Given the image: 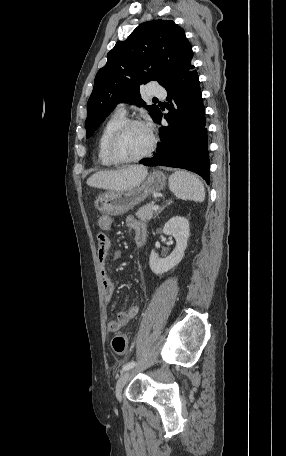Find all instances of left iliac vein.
<instances>
[{
    "instance_id": "1",
    "label": "left iliac vein",
    "mask_w": 286,
    "mask_h": 456,
    "mask_svg": "<svg viewBox=\"0 0 286 456\" xmlns=\"http://www.w3.org/2000/svg\"><path fill=\"white\" fill-rule=\"evenodd\" d=\"M131 371V369L126 370L116 383L115 394L119 401L121 400L122 390L130 377Z\"/></svg>"
}]
</instances>
